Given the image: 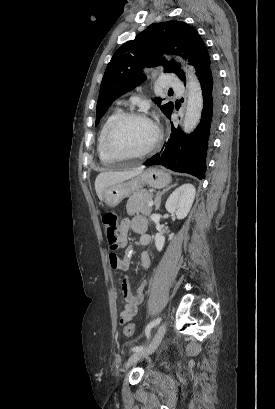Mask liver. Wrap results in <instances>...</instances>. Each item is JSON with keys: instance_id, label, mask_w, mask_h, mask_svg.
I'll return each mask as SVG.
<instances>
[{"instance_id": "obj_1", "label": "liver", "mask_w": 275, "mask_h": 409, "mask_svg": "<svg viewBox=\"0 0 275 409\" xmlns=\"http://www.w3.org/2000/svg\"><path fill=\"white\" fill-rule=\"evenodd\" d=\"M143 168L144 166H139V168L125 170V172H100L95 180V190L98 194V198L102 200L103 190L106 186H111V184H117V182H123V180L132 178V176H137V174H141Z\"/></svg>"}]
</instances>
